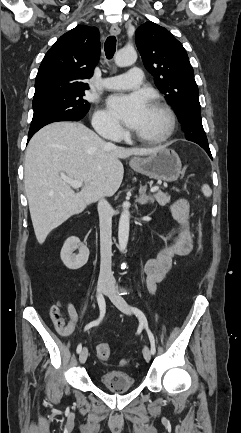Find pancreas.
Listing matches in <instances>:
<instances>
[{
	"label": "pancreas",
	"instance_id": "1",
	"mask_svg": "<svg viewBox=\"0 0 241 433\" xmlns=\"http://www.w3.org/2000/svg\"><path fill=\"white\" fill-rule=\"evenodd\" d=\"M153 198L160 206H165L170 203V196L167 193L157 192L153 195Z\"/></svg>",
	"mask_w": 241,
	"mask_h": 433
}]
</instances>
